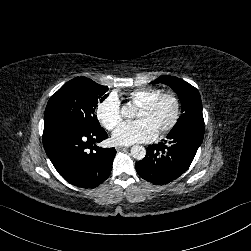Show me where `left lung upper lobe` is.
Returning <instances> with one entry per match:
<instances>
[{"label":"left lung upper lobe","instance_id":"obj_1","mask_svg":"<svg viewBox=\"0 0 251 251\" xmlns=\"http://www.w3.org/2000/svg\"><path fill=\"white\" fill-rule=\"evenodd\" d=\"M152 84L164 83L170 86L178 95L182 104V114L170 133L179 130H191L204 133V119L202 102L198 90L186 81L163 75L151 82Z\"/></svg>","mask_w":251,"mask_h":251}]
</instances>
